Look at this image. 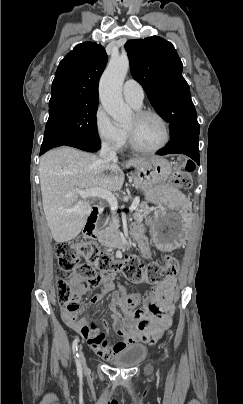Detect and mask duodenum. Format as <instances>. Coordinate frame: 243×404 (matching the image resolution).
Listing matches in <instances>:
<instances>
[{
	"label": "duodenum",
	"mask_w": 243,
	"mask_h": 404,
	"mask_svg": "<svg viewBox=\"0 0 243 404\" xmlns=\"http://www.w3.org/2000/svg\"><path fill=\"white\" fill-rule=\"evenodd\" d=\"M97 215H98V208L93 207L92 212L88 217L83 230L84 236L86 238H94L97 234L96 230ZM129 245H130V239L121 237L111 241L108 244V247L111 250H118L127 247Z\"/></svg>",
	"instance_id": "410a0bca"
}]
</instances>
